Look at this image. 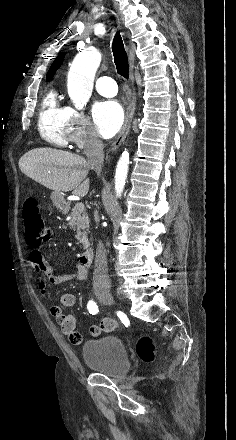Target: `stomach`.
Segmentation results:
<instances>
[{
    "instance_id": "obj_1",
    "label": "stomach",
    "mask_w": 236,
    "mask_h": 440,
    "mask_svg": "<svg viewBox=\"0 0 236 440\" xmlns=\"http://www.w3.org/2000/svg\"><path fill=\"white\" fill-rule=\"evenodd\" d=\"M51 200L53 202V205L61 212L67 211L68 205L64 199V194L62 192L59 191L52 192Z\"/></svg>"
}]
</instances>
